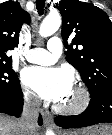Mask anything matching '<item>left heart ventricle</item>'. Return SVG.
<instances>
[{"label": "left heart ventricle", "instance_id": "obj_1", "mask_svg": "<svg viewBox=\"0 0 112 135\" xmlns=\"http://www.w3.org/2000/svg\"><path fill=\"white\" fill-rule=\"evenodd\" d=\"M79 99V95L74 89H72L69 95L63 101H61L60 104L65 106H73L79 102Z\"/></svg>", "mask_w": 112, "mask_h": 135}]
</instances>
